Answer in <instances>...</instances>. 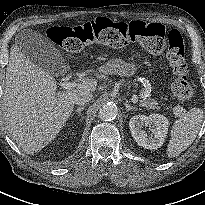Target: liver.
I'll return each mask as SVG.
<instances>
[{"instance_id":"obj_1","label":"liver","mask_w":205,"mask_h":205,"mask_svg":"<svg viewBox=\"0 0 205 205\" xmlns=\"http://www.w3.org/2000/svg\"><path fill=\"white\" fill-rule=\"evenodd\" d=\"M97 80L81 78L69 90L57 91V82L11 47L3 93V115L11 138L28 154L48 145L70 117L78 93L95 91Z\"/></svg>"}]
</instances>
